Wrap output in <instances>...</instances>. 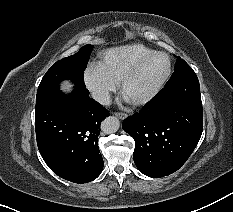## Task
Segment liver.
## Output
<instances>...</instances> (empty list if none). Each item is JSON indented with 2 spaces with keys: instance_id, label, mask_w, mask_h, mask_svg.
<instances>
[{
  "instance_id": "6515ba94",
  "label": "liver",
  "mask_w": 233,
  "mask_h": 212,
  "mask_svg": "<svg viewBox=\"0 0 233 212\" xmlns=\"http://www.w3.org/2000/svg\"><path fill=\"white\" fill-rule=\"evenodd\" d=\"M61 89L65 92H69L72 89V85L68 81H64Z\"/></svg>"
}]
</instances>
